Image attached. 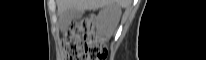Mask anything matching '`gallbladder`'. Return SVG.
<instances>
[{"label":"gallbladder","mask_w":206,"mask_h":60,"mask_svg":"<svg viewBox=\"0 0 206 60\" xmlns=\"http://www.w3.org/2000/svg\"><path fill=\"white\" fill-rule=\"evenodd\" d=\"M84 10L68 9L60 15L61 26L66 27L72 21L78 20L83 15Z\"/></svg>","instance_id":"obj_1"}]
</instances>
